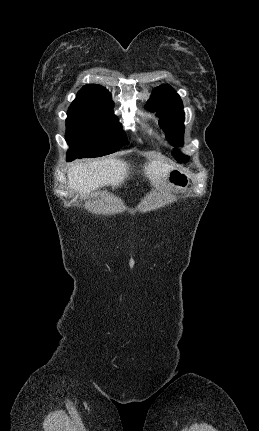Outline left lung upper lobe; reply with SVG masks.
<instances>
[{"mask_svg":"<svg viewBox=\"0 0 259 431\" xmlns=\"http://www.w3.org/2000/svg\"><path fill=\"white\" fill-rule=\"evenodd\" d=\"M146 108L152 112H157L160 117V125L171 144L175 147L182 146L185 114L179 95L170 86L161 85L154 89ZM172 155L180 162L188 161L189 158L175 150Z\"/></svg>","mask_w":259,"mask_h":431,"instance_id":"1","label":"left lung upper lobe"}]
</instances>
